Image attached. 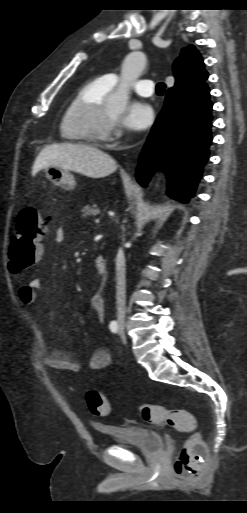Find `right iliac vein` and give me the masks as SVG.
<instances>
[{"mask_svg":"<svg viewBox=\"0 0 247 513\" xmlns=\"http://www.w3.org/2000/svg\"><path fill=\"white\" fill-rule=\"evenodd\" d=\"M120 329H121V331L124 333V329H125V328H124V324H123V323H121V324H120Z\"/></svg>","mask_w":247,"mask_h":513,"instance_id":"63e3f726","label":"right iliac vein"}]
</instances>
